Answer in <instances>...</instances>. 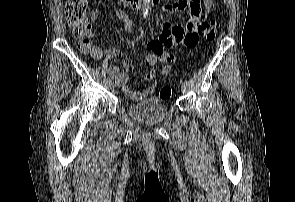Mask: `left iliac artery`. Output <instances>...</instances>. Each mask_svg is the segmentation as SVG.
I'll use <instances>...</instances> for the list:
<instances>
[{
	"label": "left iliac artery",
	"mask_w": 295,
	"mask_h": 202,
	"mask_svg": "<svg viewBox=\"0 0 295 202\" xmlns=\"http://www.w3.org/2000/svg\"><path fill=\"white\" fill-rule=\"evenodd\" d=\"M183 83L189 85V81L188 80H185Z\"/></svg>",
	"instance_id": "left-iliac-artery-1"
}]
</instances>
